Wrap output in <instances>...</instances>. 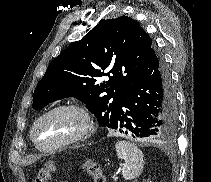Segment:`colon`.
<instances>
[{
  "label": "colon",
  "instance_id": "obj_1",
  "mask_svg": "<svg viewBox=\"0 0 211 182\" xmlns=\"http://www.w3.org/2000/svg\"><path fill=\"white\" fill-rule=\"evenodd\" d=\"M82 169L93 179V182H107L105 175L102 172L100 164L96 161H86ZM56 171V167L53 164L47 165L36 176L35 182H48L50 180L51 173Z\"/></svg>",
  "mask_w": 211,
  "mask_h": 182
}]
</instances>
